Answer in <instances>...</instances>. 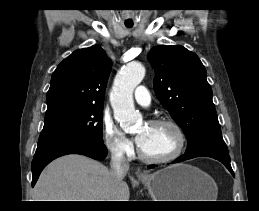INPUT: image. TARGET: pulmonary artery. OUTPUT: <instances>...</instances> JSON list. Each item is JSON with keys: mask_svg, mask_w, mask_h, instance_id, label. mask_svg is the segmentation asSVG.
<instances>
[{"mask_svg": "<svg viewBox=\"0 0 259 211\" xmlns=\"http://www.w3.org/2000/svg\"><path fill=\"white\" fill-rule=\"evenodd\" d=\"M135 100L137 103L143 106H147L151 102V98L149 95V92L146 87L144 86H138L135 90L134 94Z\"/></svg>", "mask_w": 259, "mask_h": 211, "instance_id": "obj_1", "label": "pulmonary artery"}]
</instances>
